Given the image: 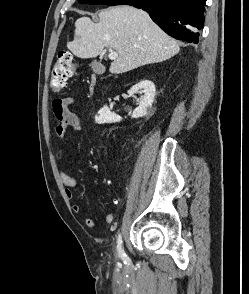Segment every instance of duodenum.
Returning a JSON list of instances; mask_svg holds the SVG:
<instances>
[{"label":"duodenum","instance_id":"obj_1","mask_svg":"<svg viewBox=\"0 0 249 294\" xmlns=\"http://www.w3.org/2000/svg\"><path fill=\"white\" fill-rule=\"evenodd\" d=\"M95 84H96V81H95V80H92V82H91V86H90V90H91V91L94 90Z\"/></svg>","mask_w":249,"mask_h":294}]
</instances>
